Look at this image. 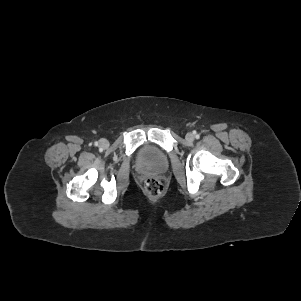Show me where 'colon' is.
Masks as SVG:
<instances>
[{"label":"colon","instance_id":"5ec220e1","mask_svg":"<svg viewBox=\"0 0 301 301\" xmlns=\"http://www.w3.org/2000/svg\"><path fill=\"white\" fill-rule=\"evenodd\" d=\"M144 190L151 197H159L164 190L163 184L156 178H148L144 182Z\"/></svg>","mask_w":301,"mask_h":301}]
</instances>
